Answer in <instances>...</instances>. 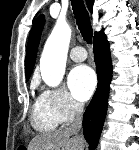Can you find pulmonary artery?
I'll list each match as a JSON object with an SVG mask.
<instances>
[{
    "mask_svg": "<svg viewBox=\"0 0 139 150\" xmlns=\"http://www.w3.org/2000/svg\"><path fill=\"white\" fill-rule=\"evenodd\" d=\"M70 58L75 62H81L87 58V52L82 46H76L70 51Z\"/></svg>",
    "mask_w": 139,
    "mask_h": 150,
    "instance_id": "obj_1",
    "label": "pulmonary artery"
}]
</instances>
